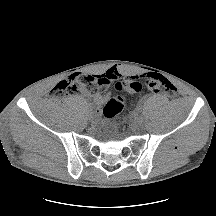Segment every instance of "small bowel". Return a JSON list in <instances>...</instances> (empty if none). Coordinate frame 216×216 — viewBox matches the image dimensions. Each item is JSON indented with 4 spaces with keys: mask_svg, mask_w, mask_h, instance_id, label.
Returning a JSON list of instances; mask_svg holds the SVG:
<instances>
[{
    "mask_svg": "<svg viewBox=\"0 0 216 216\" xmlns=\"http://www.w3.org/2000/svg\"><path fill=\"white\" fill-rule=\"evenodd\" d=\"M105 75L110 78V80H117L123 77V75L116 69L110 68L106 71ZM134 92V91H130ZM110 93L106 94H96L93 97L94 103L98 106H101L109 97Z\"/></svg>",
    "mask_w": 216,
    "mask_h": 216,
    "instance_id": "obj_1",
    "label": "small bowel"
}]
</instances>
